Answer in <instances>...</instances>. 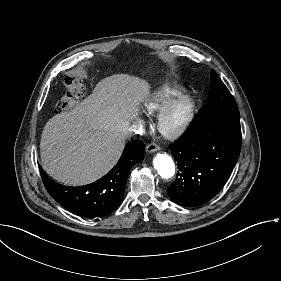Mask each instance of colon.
Instances as JSON below:
<instances>
[{
	"label": "colon",
	"instance_id": "5ec220e1",
	"mask_svg": "<svg viewBox=\"0 0 281 281\" xmlns=\"http://www.w3.org/2000/svg\"><path fill=\"white\" fill-rule=\"evenodd\" d=\"M66 92L57 102L56 109L59 113L71 111L81 100L83 90V77L81 75L69 74L64 78Z\"/></svg>",
	"mask_w": 281,
	"mask_h": 281
}]
</instances>
